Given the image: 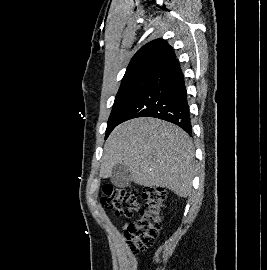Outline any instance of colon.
Segmentation results:
<instances>
[{
  "label": "colon",
  "mask_w": 267,
  "mask_h": 270,
  "mask_svg": "<svg viewBox=\"0 0 267 270\" xmlns=\"http://www.w3.org/2000/svg\"><path fill=\"white\" fill-rule=\"evenodd\" d=\"M140 196L137 192L103 186L101 204L116 215H130L138 211V217L125 225L124 239L134 254L143 252L153 245L162 226L166 192L160 187L145 188Z\"/></svg>",
  "instance_id": "5ec220e1"
}]
</instances>
